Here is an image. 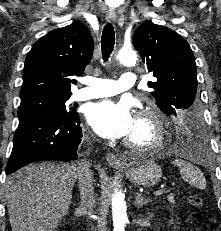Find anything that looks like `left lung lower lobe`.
Wrapping results in <instances>:
<instances>
[{
	"instance_id": "1",
	"label": "left lung lower lobe",
	"mask_w": 221,
	"mask_h": 231,
	"mask_svg": "<svg viewBox=\"0 0 221 231\" xmlns=\"http://www.w3.org/2000/svg\"><path fill=\"white\" fill-rule=\"evenodd\" d=\"M192 128H194L192 125H190ZM202 137V136H201ZM181 139V142H182V138H180ZM185 147V146H184Z\"/></svg>"
}]
</instances>
